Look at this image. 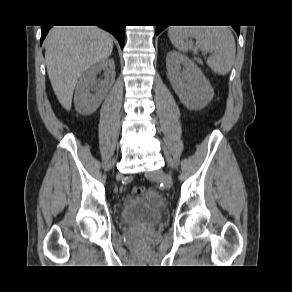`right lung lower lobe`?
Listing matches in <instances>:
<instances>
[{
    "label": "right lung lower lobe",
    "mask_w": 292,
    "mask_h": 292,
    "mask_svg": "<svg viewBox=\"0 0 292 292\" xmlns=\"http://www.w3.org/2000/svg\"><path fill=\"white\" fill-rule=\"evenodd\" d=\"M100 27H102L103 29L109 31L110 33H112L119 41L120 43V46L121 48H123V45H124V33H125V26H118V25H100ZM51 28L50 27H45V26H42V29H41V43L43 42L46 34L48 33L49 29Z\"/></svg>",
    "instance_id": "1"
}]
</instances>
